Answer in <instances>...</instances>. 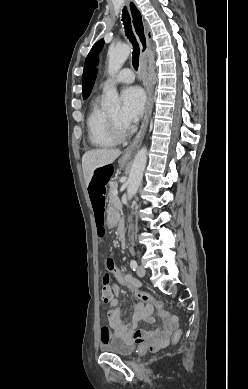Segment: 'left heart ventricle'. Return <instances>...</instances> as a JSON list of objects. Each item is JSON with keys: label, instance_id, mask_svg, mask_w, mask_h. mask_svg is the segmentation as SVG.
Segmentation results:
<instances>
[{"label": "left heart ventricle", "instance_id": "left-heart-ventricle-1", "mask_svg": "<svg viewBox=\"0 0 248 389\" xmlns=\"http://www.w3.org/2000/svg\"><path fill=\"white\" fill-rule=\"evenodd\" d=\"M109 115L119 122V111L118 110L109 112Z\"/></svg>", "mask_w": 248, "mask_h": 389}]
</instances>
